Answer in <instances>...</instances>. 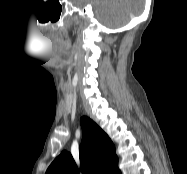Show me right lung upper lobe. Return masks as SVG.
<instances>
[{
	"instance_id": "1",
	"label": "right lung upper lobe",
	"mask_w": 187,
	"mask_h": 174,
	"mask_svg": "<svg viewBox=\"0 0 187 174\" xmlns=\"http://www.w3.org/2000/svg\"><path fill=\"white\" fill-rule=\"evenodd\" d=\"M79 157L83 174H121L114 144L92 120L82 126ZM46 174H78V168L72 155L63 151L48 167Z\"/></svg>"
}]
</instances>
